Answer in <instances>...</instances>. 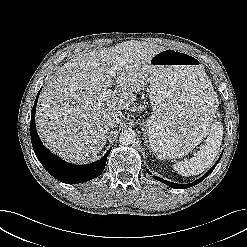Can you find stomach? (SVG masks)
Returning a JSON list of instances; mask_svg holds the SVG:
<instances>
[{
	"label": "stomach",
	"mask_w": 247,
	"mask_h": 247,
	"mask_svg": "<svg viewBox=\"0 0 247 247\" xmlns=\"http://www.w3.org/2000/svg\"><path fill=\"white\" fill-rule=\"evenodd\" d=\"M149 98L153 113L146 121L150 148L159 158H180L207 135L217 97L199 59L166 48L149 63Z\"/></svg>",
	"instance_id": "obj_1"
}]
</instances>
